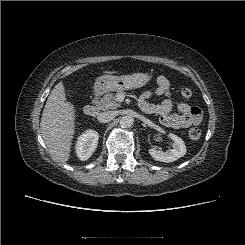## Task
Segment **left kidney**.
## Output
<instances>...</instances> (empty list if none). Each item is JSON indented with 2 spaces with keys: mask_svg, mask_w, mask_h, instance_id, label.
Returning a JSON list of instances; mask_svg holds the SVG:
<instances>
[{
  "mask_svg": "<svg viewBox=\"0 0 245 245\" xmlns=\"http://www.w3.org/2000/svg\"><path fill=\"white\" fill-rule=\"evenodd\" d=\"M173 141V148L165 152L155 148L149 149V154L156 161L160 162H174L175 160L183 157L186 154V146L184 141L175 134L169 133L168 135Z\"/></svg>",
  "mask_w": 245,
  "mask_h": 245,
  "instance_id": "left-kidney-1",
  "label": "left kidney"
}]
</instances>
